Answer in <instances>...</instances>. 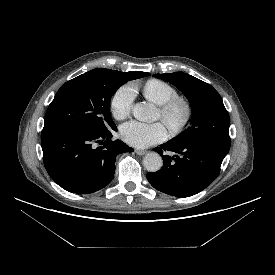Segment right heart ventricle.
<instances>
[{"label":"right heart ventricle","mask_w":275,"mask_h":275,"mask_svg":"<svg viewBox=\"0 0 275 275\" xmlns=\"http://www.w3.org/2000/svg\"><path fill=\"white\" fill-rule=\"evenodd\" d=\"M143 94L158 106L178 96L177 90L171 84L159 79L148 80L143 86Z\"/></svg>","instance_id":"right-heart-ventricle-1"}]
</instances>
